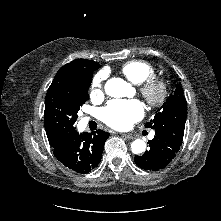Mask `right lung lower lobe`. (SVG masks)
I'll return each mask as SVG.
<instances>
[{
  "mask_svg": "<svg viewBox=\"0 0 221 221\" xmlns=\"http://www.w3.org/2000/svg\"><path fill=\"white\" fill-rule=\"evenodd\" d=\"M109 133L97 130L92 133L74 131L63 142L53 147L55 157L67 168L85 174L101 161L104 143Z\"/></svg>",
  "mask_w": 221,
  "mask_h": 221,
  "instance_id": "1",
  "label": "right lung lower lobe"
}]
</instances>
